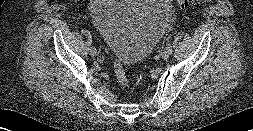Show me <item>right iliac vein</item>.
Listing matches in <instances>:
<instances>
[{
	"mask_svg": "<svg viewBox=\"0 0 253 131\" xmlns=\"http://www.w3.org/2000/svg\"><path fill=\"white\" fill-rule=\"evenodd\" d=\"M90 52H91V54L94 55V56H95V55H98V51H97V50H96L95 52H92V51L90 50Z\"/></svg>",
	"mask_w": 253,
	"mask_h": 131,
	"instance_id": "63e3f726",
	"label": "right iliac vein"
}]
</instances>
